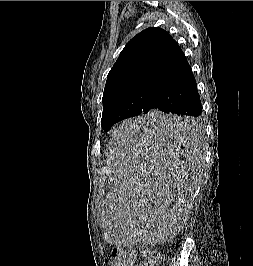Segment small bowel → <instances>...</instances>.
I'll use <instances>...</instances> for the list:
<instances>
[{"label":"small bowel","instance_id":"c3829d8e","mask_svg":"<svg viewBox=\"0 0 253 266\" xmlns=\"http://www.w3.org/2000/svg\"><path fill=\"white\" fill-rule=\"evenodd\" d=\"M129 266H138V265H134V264L131 262Z\"/></svg>","mask_w":253,"mask_h":266}]
</instances>
